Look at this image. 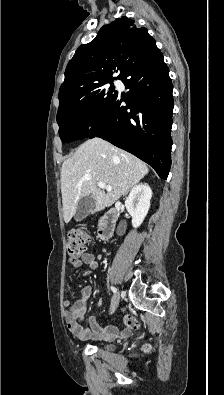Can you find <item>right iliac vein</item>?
<instances>
[{"mask_svg":"<svg viewBox=\"0 0 224 395\" xmlns=\"http://www.w3.org/2000/svg\"><path fill=\"white\" fill-rule=\"evenodd\" d=\"M119 298H120L119 293H117V294L113 297L112 303H111V313H113V312L116 310V308H117V306H118V303H119Z\"/></svg>","mask_w":224,"mask_h":395,"instance_id":"obj_1","label":"right iliac vein"}]
</instances>
